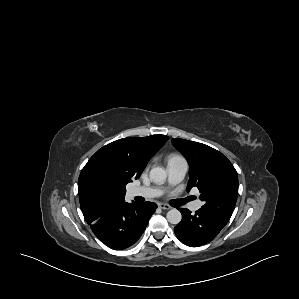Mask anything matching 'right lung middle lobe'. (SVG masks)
<instances>
[{
	"label": "right lung middle lobe",
	"instance_id": "dd1d6c3e",
	"mask_svg": "<svg viewBox=\"0 0 299 299\" xmlns=\"http://www.w3.org/2000/svg\"><path fill=\"white\" fill-rule=\"evenodd\" d=\"M91 185L98 189H110L118 184V180L106 168L97 166L90 172Z\"/></svg>",
	"mask_w": 299,
	"mask_h": 299
}]
</instances>
